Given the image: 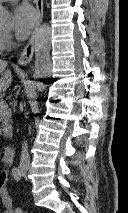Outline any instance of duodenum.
<instances>
[{
	"mask_svg": "<svg viewBox=\"0 0 128 213\" xmlns=\"http://www.w3.org/2000/svg\"><path fill=\"white\" fill-rule=\"evenodd\" d=\"M1 158L5 164H10L13 161L15 155V149L12 146H5L1 149Z\"/></svg>",
	"mask_w": 128,
	"mask_h": 213,
	"instance_id": "1",
	"label": "duodenum"
}]
</instances>
